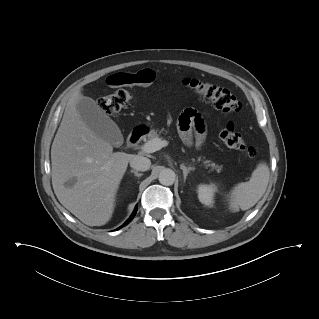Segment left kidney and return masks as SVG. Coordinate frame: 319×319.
Instances as JSON below:
<instances>
[{
	"instance_id": "5707ae66",
	"label": "left kidney",
	"mask_w": 319,
	"mask_h": 319,
	"mask_svg": "<svg viewBox=\"0 0 319 319\" xmlns=\"http://www.w3.org/2000/svg\"><path fill=\"white\" fill-rule=\"evenodd\" d=\"M215 191L216 186L214 184H200L197 187L199 201L202 204L211 207L214 202L213 199Z\"/></svg>"
}]
</instances>
